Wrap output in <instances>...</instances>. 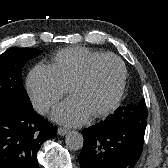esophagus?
I'll return each instance as SVG.
<instances>
[{
	"label": "esophagus",
	"mask_w": 168,
	"mask_h": 168,
	"mask_svg": "<svg viewBox=\"0 0 168 168\" xmlns=\"http://www.w3.org/2000/svg\"><path fill=\"white\" fill-rule=\"evenodd\" d=\"M69 132V129L67 128H63V127H59L58 128V135L60 136H64Z\"/></svg>",
	"instance_id": "esophagus-1"
}]
</instances>
